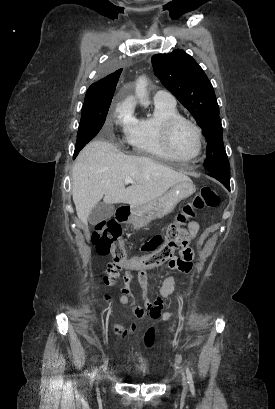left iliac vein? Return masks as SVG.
<instances>
[{
  "instance_id": "4c4485c4",
  "label": "left iliac vein",
  "mask_w": 275,
  "mask_h": 409,
  "mask_svg": "<svg viewBox=\"0 0 275 409\" xmlns=\"http://www.w3.org/2000/svg\"><path fill=\"white\" fill-rule=\"evenodd\" d=\"M182 382H183V387L186 390L187 389V382H186L185 377L182 378Z\"/></svg>"
}]
</instances>
